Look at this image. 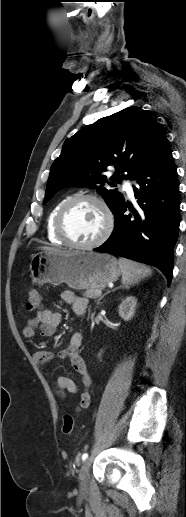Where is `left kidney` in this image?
<instances>
[{"label": "left kidney", "instance_id": "1", "mask_svg": "<svg viewBox=\"0 0 186 517\" xmlns=\"http://www.w3.org/2000/svg\"><path fill=\"white\" fill-rule=\"evenodd\" d=\"M137 299L134 296H129L122 301L118 307L119 316L125 321H129L135 314Z\"/></svg>", "mask_w": 186, "mask_h": 517}]
</instances>
